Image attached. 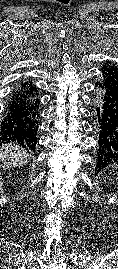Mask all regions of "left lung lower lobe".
I'll return each instance as SVG.
<instances>
[{
  "label": "left lung lower lobe",
  "mask_w": 118,
  "mask_h": 269,
  "mask_svg": "<svg viewBox=\"0 0 118 269\" xmlns=\"http://www.w3.org/2000/svg\"><path fill=\"white\" fill-rule=\"evenodd\" d=\"M100 107L97 108L101 131L97 155L98 171L109 164L118 163V92L100 84Z\"/></svg>",
  "instance_id": "left-lung-lower-lobe-1"
}]
</instances>
